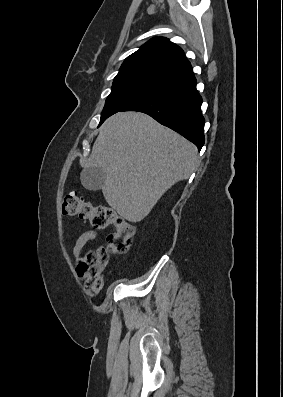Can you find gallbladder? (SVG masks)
Returning <instances> with one entry per match:
<instances>
[{
    "label": "gallbladder",
    "mask_w": 283,
    "mask_h": 397,
    "mask_svg": "<svg viewBox=\"0 0 283 397\" xmlns=\"http://www.w3.org/2000/svg\"><path fill=\"white\" fill-rule=\"evenodd\" d=\"M83 187L90 191L101 189L106 180V173L102 168H85L80 174Z\"/></svg>",
    "instance_id": "bac80fb5"
}]
</instances>
